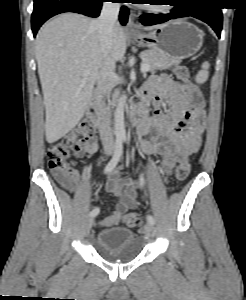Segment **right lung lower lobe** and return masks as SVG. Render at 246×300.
Wrapping results in <instances>:
<instances>
[{"label":"right lung lower lobe","instance_id":"obj_1","mask_svg":"<svg viewBox=\"0 0 246 300\" xmlns=\"http://www.w3.org/2000/svg\"><path fill=\"white\" fill-rule=\"evenodd\" d=\"M105 0H34L31 26L34 37L40 26L49 18L63 12H76L90 17H98ZM128 9L122 7L119 20L125 25L128 20Z\"/></svg>","mask_w":246,"mask_h":300}]
</instances>
